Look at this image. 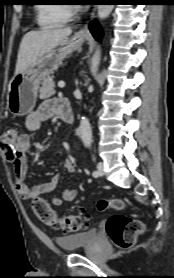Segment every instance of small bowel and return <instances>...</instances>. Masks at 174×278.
<instances>
[{
  "label": "small bowel",
  "instance_id": "1",
  "mask_svg": "<svg viewBox=\"0 0 174 278\" xmlns=\"http://www.w3.org/2000/svg\"><path fill=\"white\" fill-rule=\"evenodd\" d=\"M57 101L58 100L44 101L36 111L26 117L25 128L29 133L38 131L45 121L57 114ZM13 149L15 157L12 161L14 165L15 187L18 195L22 199L32 200L37 197L52 194L58 185V174L37 183L33 187L27 185V159L31 149V139L29 134L24 133L16 136L13 141ZM63 167L68 173L75 172L74 164L69 159L64 161ZM77 194V189L75 187H70L62 192L61 197L53 196L50 199V204L53 206H60L64 201H73Z\"/></svg>",
  "mask_w": 174,
  "mask_h": 278
}]
</instances>
